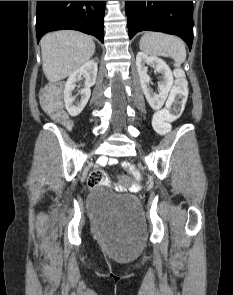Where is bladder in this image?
I'll return each instance as SVG.
<instances>
[{"mask_svg": "<svg viewBox=\"0 0 233 295\" xmlns=\"http://www.w3.org/2000/svg\"><path fill=\"white\" fill-rule=\"evenodd\" d=\"M87 206L97 222L140 213V204L135 197L116 194L99 186L88 196Z\"/></svg>", "mask_w": 233, "mask_h": 295, "instance_id": "bladder-1", "label": "bladder"}]
</instances>
